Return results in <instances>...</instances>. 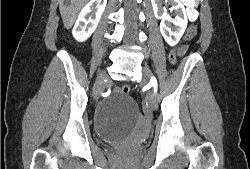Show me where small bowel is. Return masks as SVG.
<instances>
[{
	"mask_svg": "<svg viewBox=\"0 0 250 169\" xmlns=\"http://www.w3.org/2000/svg\"><path fill=\"white\" fill-rule=\"evenodd\" d=\"M183 52H184V49H181V50H180V53L182 54Z\"/></svg>",
	"mask_w": 250,
	"mask_h": 169,
	"instance_id": "c3829d8e",
	"label": "small bowel"
}]
</instances>
